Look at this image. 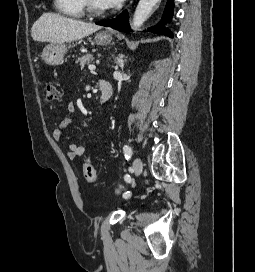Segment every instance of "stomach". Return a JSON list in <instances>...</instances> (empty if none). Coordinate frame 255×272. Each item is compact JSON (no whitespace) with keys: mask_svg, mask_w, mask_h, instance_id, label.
Instances as JSON below:
<instances>
[{"mask_svg":"<svg viewBox=\"0 0 255 272\" xmlns=\"http://www.w3.org/2000/svg\"><path fill=\"white\" fill-rule=\"evenodd\" d=\"M94 39L96 44L104 46L111 42L112 35L103 31L97 33ZM66 52L67 46L64 43L50 44L43 49L41 57L46 64L56 66L63 62Z\"/></svg>","mask_w":255,"mask_h":272,"instance_id":"1","label":"stomach"}]
</instances>
